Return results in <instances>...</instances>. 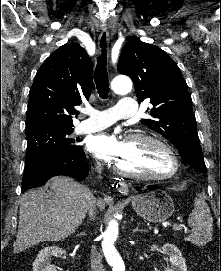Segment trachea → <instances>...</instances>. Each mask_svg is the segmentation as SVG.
<instances>
[{"label":"trachea","instance_id":"1","mask_svg":"<svg viewBox=\"0 0 221 271\" xmlns=\"http://www.w3.org/2000/svg\"><path fill=\"white\" fill-rule=\"evenodd\" d=\"M106 64H107L106 53L105 50H102V55L99 56L98 58L94 79L96 88L98 90V94L100 98H102L103 100H106V98H108L110 91Z\"/></svg>","mask_w":221,"mask_h":271}]
</instances>
